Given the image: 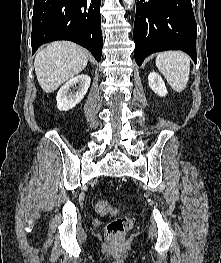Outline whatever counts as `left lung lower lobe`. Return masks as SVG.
Here are the masks:
<instances>
[{
	"label": "left lung lower lobe",
	"instance_id": "1",
	"mask_svg": "<svg viewBox=\"0 0 221 263\" xmlns=\"http://www.w3.org/2000/svg\"><path fill=\"white\" fill-rule=\"evenodd\" d=\"M196 36L191 0H137L133 37L139 66L165 50H182L196 63Z\"/></svg>",
	"mask_w": 221,
	"mask_h": 263
}]
</instances>
